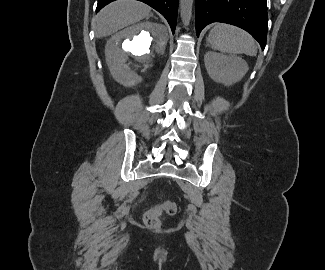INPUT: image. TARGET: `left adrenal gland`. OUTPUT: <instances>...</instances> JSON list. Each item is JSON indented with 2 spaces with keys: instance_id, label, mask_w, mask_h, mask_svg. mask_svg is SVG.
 Wrapping results in <instances>:
<instances>
[{
  "instance_id": "left-adrenal-gland-1",
  "label": "left adrenal gland",
  "mask_w": 325,
  "mask_h": 270,
  "mask_svg": "<svg viewBox=\"0 0 325 270\" xmlns=\"http://www.w3.org/2000/svg\"><path fill=\"white\" fill-rule=\"evenodd\" d=\"M207 41V40H206ZM209 46V44H208V41H207V43H206V47H208Z\"/></svg>"
}]
</instances>
